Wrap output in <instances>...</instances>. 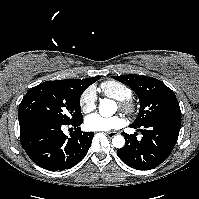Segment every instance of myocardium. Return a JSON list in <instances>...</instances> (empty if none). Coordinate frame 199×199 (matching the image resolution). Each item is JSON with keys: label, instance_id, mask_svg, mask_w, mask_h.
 I'll return each mask as SVG.
<instances>
[{"label": "myocardium", "instance_id": "f54148a6", "mask_svg": "<svg viewBox=\"0 0 199 199\" xmlns=\"http://www.w3.org/2000/svg\"><path fill=\"white\" fill-rule=\"evenodd\" d=\"M119 106L127 114H132L135 111V103L131 99L119 101Z\"/></svg>", "mask_w": 199, "mask_h": 199}]
</instances>
